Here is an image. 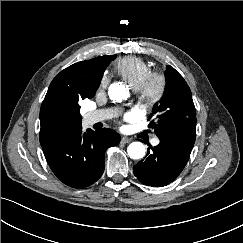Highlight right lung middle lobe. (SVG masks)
<instances>
[{
    "instance_id": "dd1d6c3e",
    "label": "right lung middle lobe",
    "mask_w": 243,
    "mask_h": 243,
    "mask_svg": "<svg viewBox=\"0 0 243 243\" xmlns=\"http://www.w3.org/2000/svg\"><path fill=\"white\" fill-rule=\"evenodd\" d=\"M115 58H116V55H114V56H110L107 65L109 64L110 61L114 60Z\"/></svg>"
}]
</instances>
